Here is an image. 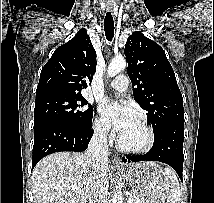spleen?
<instances>
[{
	"mask_svg": "<svg viewBox=\"0 0 214 203\" xmlns=\"http://www.w3.org/2000/svg\"><path fill=\"white\" fill-rule=\"evenodd\" d=\"M165 173L169 176L171 181V189L167 203H180V187L177 177L169 168H165Z\"/></svg>",
	"mask_w": 214,
	"mask_h": 203,
	"instance_id": "3e777b00",
	"label": "spleen"
}]
</instances>
